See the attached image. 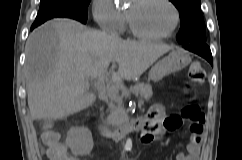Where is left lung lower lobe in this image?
<instances>
[{
    "mask_svg": "<svg viewBox=\"0 0 242 160\" xmlns=\"http://www.w3.org/2000/svg\"><path fill=\"white\" fill-rule=\"evenodd\" d=\"M185 49L194 52L205 58L211 65H213V58L210 48L206 42H193L190 44L182 45Z\"/></svg>",
    "mask_w": 242,
    "mask_h": 160,
    "instance_id": "left-lung-lower-lobe-1",
    "label": "left lung lower lobe"
}]
</instances>
